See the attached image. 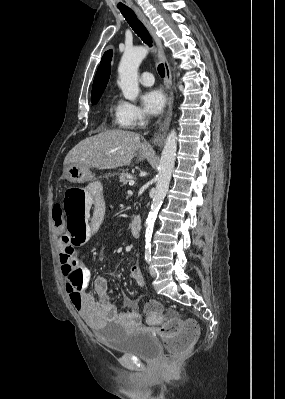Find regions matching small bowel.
I'll return each instance as SVG.
<instances>
[{
  "label": "small bowel",
  "instance_id": "small-bowel-1",
  "mask_svg": "<svg viewBox=\"0 0 285 399\" xmlns=\"http://www.w3.org/2000/svg\"><path fill=\"white\" fill-rule=\"evenodd\" d=\"M103 186L101 183L92 184L85 192L86 199L85 209L90 213L91 230L97 233L104 222L105 218V204L102 195ZM53 213L60 218L58 223L59 231H61L60 244L62 246V253L67 246L69 235L65 232L63 211L61 208H55ZM76 280H81L83 285L82 302L79 306L74 307L79 315L87 322L88 325H103L110 323L115 325L120 332H126L134 328H144L142 315L138 309V302L141 299L140 295L133 297L131 300L126 299L123 306L126 312H120L117 305L112 301L109 295V286L104 277L96 279L94 284L95 292L98 296L96 300L86 289L85 285L91 277V272L88 268L78 264L73 271ZM130 277L138 287L145 286V279L141 269L138 266H133L130 270ZM159 318L152 320L155 325Z\"/></svg>",
  "mask_w": 285,
  "mask_h": 399
}]
</instances>
